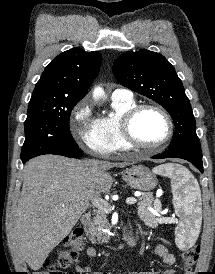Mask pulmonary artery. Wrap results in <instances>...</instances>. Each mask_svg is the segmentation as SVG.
Instances as JSON below:
<instances>
[{
  "label": "pulmonary artery",
  "mask_w": 215,
  "mask_h": 274,
  "mask_svg": "<svg viewBox=\"0 0 215 274\" xmlns=\"http://www.w3.org/2000/svg\"><path fill=\"white\" fill-rule=\"evenodd\" d=\"M112 97L122 98V99H129V98L132 97V93L127 89L117 88L113 91Z\"/></svg>",
  "instance_id": "obj_1"
}]
</instances>
